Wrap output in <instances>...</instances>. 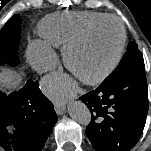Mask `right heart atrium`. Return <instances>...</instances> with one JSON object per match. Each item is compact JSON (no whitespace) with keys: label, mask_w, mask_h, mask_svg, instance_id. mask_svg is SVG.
<instances>
[{"label":"right heart atrium","mask_w":151,"mask_h":151,"mask_svg":"<svg viewBox=\"0 0 151 151\" xmlns=\"http://www.w3.org/2000/svg\"><path fill=\"white\" fill-rule=\"evenodd\" d=\"M27 55L31 65L40 72L51 69L56 59L53 48L42 40L31 41Z\"/></svg>","instance_id":"1"}]
</instances>
